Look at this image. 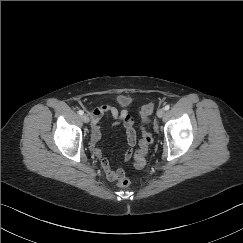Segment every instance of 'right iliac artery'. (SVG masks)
I'll use <instances>...</instances> for the list:
<instances>
[{
  "instance_id": "obj_1",
  "label": "right iliac artery",
  "mask_w": 243,
  "mask_h": 243,
  "mask_svg": "<svg viewBox=\"0 0 243 243\" xmlns=\"http://www.w3.org/2000/svg\"><path fill=\"white\" fill-rule=\"evenodd\" d=\"M83 113H84V112H83L82 110H79V111H78V114H79L80 116H82Z\"/></svg>"
}]
</instances>
